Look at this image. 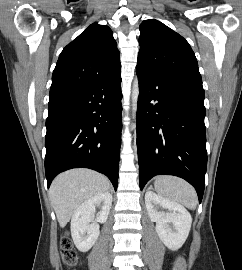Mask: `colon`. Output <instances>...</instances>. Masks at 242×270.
Instances as JSON below:
<instances>
[{"mask_svg":"<svg viewBox=\"0 0 242 270\" xmlns=\"http://www.w3.org/2000/svg\"><path fill=\"white\" fill-rule=\"evenodd\" d=\"M60 247L64 263L67 266H74L78 262V256L71 240L68 237H63L60 241Z\"/></svg>","mask_w":242,"mask_h":270,"instance_id":"1","label":"colon"}]
</instances>
